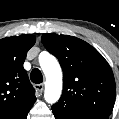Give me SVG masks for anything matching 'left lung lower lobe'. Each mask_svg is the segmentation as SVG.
<instances>
[{"mask_svg": "<svg viewBox=\"0 0 119 119\" xmlns=\"http://www.w3.org/2000/svg\"><path fill=\"white\" fill-rule=\"evenodd\" d=\"M52 111L55 119H108L106 115H93L79 113L73 110H65L52 106Z\"/></svg>", "mask_w": 119, "mask_h": 119, "instance_id": "1", "label": "left lung lower lobe"}]
</instances>
